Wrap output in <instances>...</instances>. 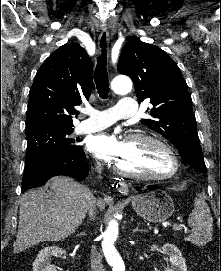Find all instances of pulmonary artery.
Masks as SVG:
<instances>
[{
  "mask_svg": "<svg viewBox=\"0 0 221 271\" xmlns=\"http://www.w3.org/2000/svg\"><path fill=\"white\" fill-rule=\"evenodd\" d=\"M132 101V98H120L121 107H109V112H89L88 121H82L79 132H97L103 130L107 126H112V122H123V117H136L138 102ZM83 118H85V116L80 117V119Z\"/></svg>",
  "mask_w": 221,
  "mask_h": 271,
  "instance_id": "e3ab8cb5",
  "label": "pulmonary artery"
}]
</instances>
